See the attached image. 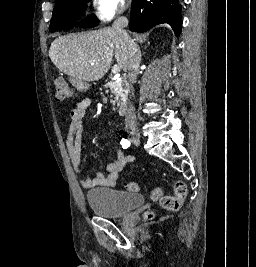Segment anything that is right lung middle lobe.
<instances>
[{"label": "right lung middle lobe", "instance_id": "dd1d6c3e", "mask_svg": "<svg viewBox=\"0 0 256 267\" xmlns=\"http://www.w3.org/2000/svg\"><path fill=\"white\" fill-rule=\"evenodd\" d=\"M91 0H59L55 2L49 30L51 32L71 29L76 25L80 13L86 9ZM98 22L94 15H90L78 23L81 27H94Z\"/></svg>", "mask_w": 256, "mask_h": 267}]
</instances>
